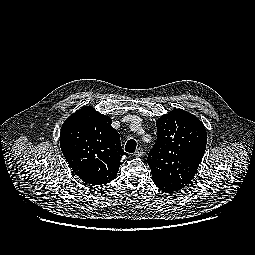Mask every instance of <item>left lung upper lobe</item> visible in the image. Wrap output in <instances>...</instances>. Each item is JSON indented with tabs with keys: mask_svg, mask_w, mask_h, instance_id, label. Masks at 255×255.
Segmentation results:
<instances>
[{
	"mask_svg": "<svg viewBox=\"0 0 255 255\" xmlns=\"http://www.w3.org/2000/svg\"><path fill=\"white\" fill-rule=\"evenodd\" d=\"M157 141L148 154L152 180L162 191L184 188L202 161L207 133L195 115L174 109L156 121Z\"/></svg>",
	"mask_w": 255,
	"mask_h": 255,
	"instance_id": "obj_1",
	"label": "left lung upper lobe"
}]
</instances>
